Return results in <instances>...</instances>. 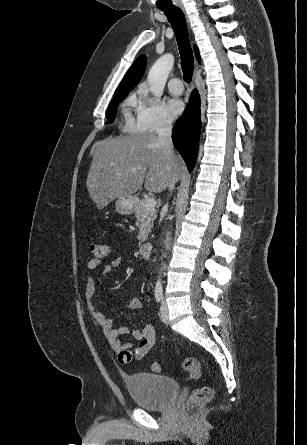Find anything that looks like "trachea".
I'll list each match as a JSON object with an SVG mask.
<instances>
[{
	"instance_id": "1",
	"label": "trachea",
	"mask_w": 307,
	"mask_h": 445,
	"mask_svg": "<svg viewBox=\"0 0 307 445\" xmlns=\"http://www.w3.org/2000/svg\"><path fill=\"white\" fill-rule=\"evenodd\" d=\"M160 10L164 11L176 35L180 51L183 78L185 82L189 83L193 76L194 59L184 14L180 8L175 6L165 7Z\"/></svg>"
}]
</instances>
